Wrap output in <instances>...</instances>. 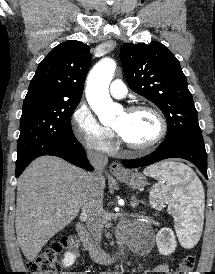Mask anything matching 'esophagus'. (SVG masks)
Wrapping results in <instances>:
<instances>
[{
  "label": "esophagus",
  "mask_w": 215,
  "mask_h": 274,
  "mask_svg": "<svg viewBox=\"0 0 215 274\" xmlns=\"http://www.w3.org/2000/svg\"><path fill=\"white\" fill-rule=\"evenodd\" d=\"M110 172L114 175V176H122L125 174V170L123 169V167L117 163V162H113L110 165Z\"/></svg>",
  "instance_id": "1"
}]
</instances>
